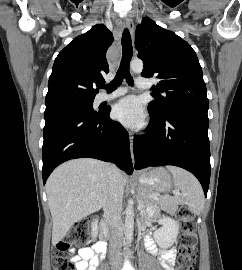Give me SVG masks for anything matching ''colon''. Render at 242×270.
I'll use <instances>...</instances> for the list:
<instances>
[{
	"mask_svg": "<svg viewBox=\"0 0 242 270\" xmlns=\"http://www.w3.org/2000/svg\"><path fill=\"white\" fill-rule=\"evenodd\" d=\"M177 216L182 222L178 270H193L198 241L194 214L189 208L181 207ZM89 231L90 224L87 221H79L72 226L53 251L54 270H76L75 260L70 252L75 244L84 243L88 240Z\"/></svg>",
	"mask_w": 242,
	"mask_h": 270,
	"instance_id": "5ec220e1",
	"label": "colon"
}]
</instances>
